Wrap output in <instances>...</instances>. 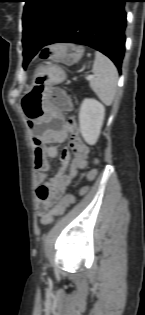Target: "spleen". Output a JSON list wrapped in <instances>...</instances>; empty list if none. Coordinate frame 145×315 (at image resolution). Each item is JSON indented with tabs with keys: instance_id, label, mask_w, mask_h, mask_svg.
<instances>
[{
	"instance_id": "3e777b00",
	"label": "spleen",
	"mask_w": 145,
	"mask_h": 315,
	"mask_svg": "<svg viewBox=\"0 0 145 315\" xmlns=\"http://www.w3.org/2000/svg\"><path fill=\"white\" fill-rule=\"evenodd\" d=\"M90 87L105 104L111 105L117 92L118 72L113 62L100 52L95 53Z\"/></svg>"
}]
</instances>
